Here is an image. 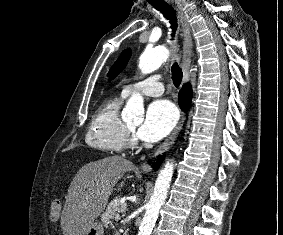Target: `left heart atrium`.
Returning <instances> with one entry per match:
<instances>
[{"label":"left heart atrium","instance_id":"obj_1","mask_svg":"<svg viewBox=\"0 0 283 235\" xmlns=\"http://www.w3.org/2000/svg\"><path fill=\"white\" fill-rule=\"evenodd\" d=\"M177 118L176 108L171 102L167 100L154 101L149 105L137 135L146 142L158 141L173 129Z\"/></svg>","mask_w":283,"mask_h":235}]
</instances>
